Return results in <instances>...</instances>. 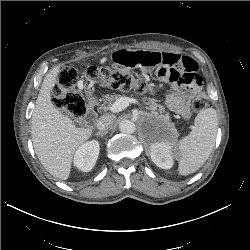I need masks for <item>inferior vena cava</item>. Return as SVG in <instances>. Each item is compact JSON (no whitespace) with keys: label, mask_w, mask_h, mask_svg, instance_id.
Masks as SVG:
<instances>
[{"label":"inferior vena cava","mask_w":250,"mask_h":250,"mask_svg":"<svg viewBox=\"0 0 250 250\" xmlns=\"http://www.w3.org/2000/svg\"><path fill=\"white\" fill-rule=\"evenodd\" d=\"M114 116L113 115H103L97 121V128L100 131H107L113 124Z\"/></svg>","instance_id":"inferior-vena-cava-1"}]
</instances>
